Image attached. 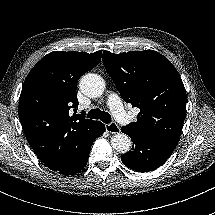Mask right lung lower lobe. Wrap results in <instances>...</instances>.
I'll list each match as a JSON object with an SVG mask.
<instances>
[{"label": "right lung lower lobe", "mask_w": 215, "mask_h": 215, "mask_svg": "<svg viewBox=\"0 0 215 215\" xmlns=\"http://www.w3.org/2000/svg\"><path fill=\"white\" fill-rule=\"evenodd\" d=\"M105 131V125L94 121L81 129L69 139L68 155L65 162L53 171L63 175H73L82 170L87 164L93 141Z\"/></svg>", "instance_id": "right-lung-lower-lobe-1"}]
</instances>
